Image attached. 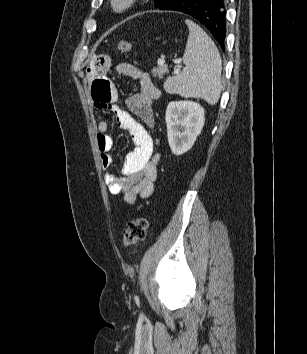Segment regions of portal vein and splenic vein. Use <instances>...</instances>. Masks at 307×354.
<instances>
[{
	"label": "portal vein and splenic vein",
	"instance_id": "obj_1",
	"mask_svg": "<svg viewBox=\"0 0 307 354\" xmlns=\"http://www.w3.org/2000/svg\"><path fill=\"white\" fill-rule=\"evenodd\" d=\"M173 62L175 63V64H180L181 63V59H175V60H173ZM158 64H160V65H162V64H164V60H158ZM177 72H178V70H177Z\"/></svg>",
	"mask_w": 307,
	"mask_h": 354
}]
</instances>
